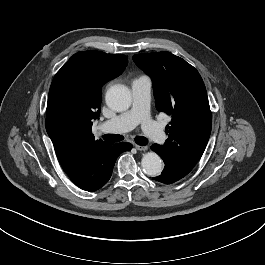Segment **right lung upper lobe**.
Instances as JSON below:
<instances>
[{
  "instance_id": "1",
  "label": "right lung upper lobe",
  "mask_w": 265,
  "mask_h": 265,
  "mask_svg": "<svg viewBox=\"0 0 265 265\" xmlns=\"http://www.w3.org/2000/svg\"><path fill=\"white\" fill-rule=\"evenodd\" d=\"M128 59L121 54L85 51L74 54L58 71L66 73L76 92L74 102L60 110L50 100L45 127L64 171L75 167L94 147L106 144L92 135L93 120L100 114L101 87L119 76Z\"/></svg>"
}]
</instances>
